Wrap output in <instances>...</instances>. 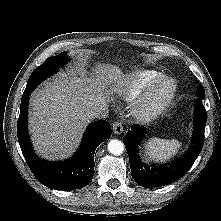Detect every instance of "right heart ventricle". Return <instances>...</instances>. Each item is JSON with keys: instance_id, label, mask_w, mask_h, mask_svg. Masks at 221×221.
Listing matches in <instances>:
<instances>
[{"instance_id": "e07e8e85", "label": "right heart ventricle", "mask_w": 221, "mask_h": 221, "mask_svg": "<svg viewBox=\"0 0 221 221\" xmlns=\"http://www.w3.org/2000/svg\"><path fill=\"white\" fill-rule=\"evenodd\" d=\"M162 75L151 69H138L122 78L114 88L115 94L125 101L137 98L141 91L155 78Z\"/></svg>"}]
</instances>
